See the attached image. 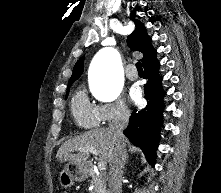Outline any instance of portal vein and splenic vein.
I'll return each mask as SVG.
<instances>
[{
  "mask_svg": "<svg viewBox=\"0 0 221 193\" xmlns=\"http://www.w3.org/2000/svg\"><path fill=\"white\" fill-rule=\"evenodd\" d=\"M79 151H81V152L88 151L95 156L98 155V151L95 148H80ZM98 168H99V170H104L105 169V162H103V161L99 162Z\"/></svg>",
  "mask_w": 221,
  "mask_h": 193,
  "instance_id": "obj_1",
  "label": "portal vein and splenic vein"
}]
</instances>
